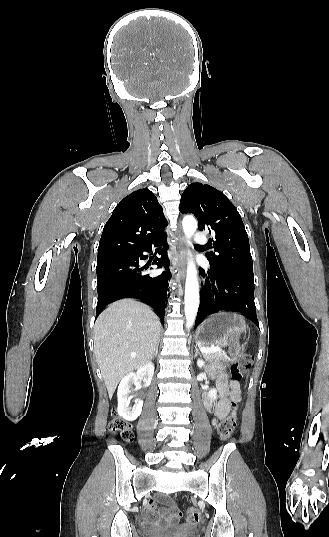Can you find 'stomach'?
Returning <instances> with one entry per match:
<instances>
[{
  "instance_id": "stomach-1",
  "label": "stomach",
  "mask_w": 329,
  "mask_h": 537,
  "mask_svg": "<svg viewBox=\"0 0 329 537\" xmlns=\"http://www.w3.org/2000/svg\"><path fill=\"white\" fill-rule=\"evenodd\" d=\"M245 319L237 313L218 312L206 319L196 331L200 345H226L246 333Z\"/></svg>"
}]
</instances>
